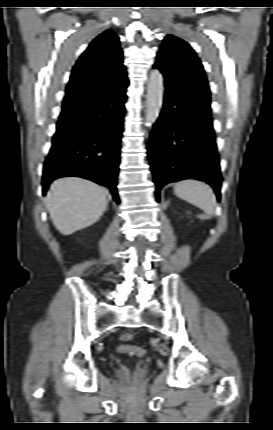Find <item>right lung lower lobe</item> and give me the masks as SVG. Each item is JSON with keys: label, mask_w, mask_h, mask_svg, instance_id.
I'll use <instances>...</instances> for the list:
<instances>
[{"label": "right lung lower lobe", "mask_w": 273, "mask_h": 430, "mask_svg": "<svg viewBox=\"0 0 273 430\" xmlns=\"http://www.w3.org/2000/svg\"><path fill=\"white\" fill-rule=\"evenodd\" d=\"M127 85L103 86L78 114L57 125L44 163L43 194L53 180L77 176L109 187L120 203L116 185Z\"/></svg>", "instance_id": "obj_1"}]
</instances>
